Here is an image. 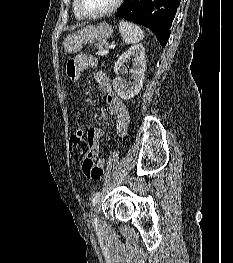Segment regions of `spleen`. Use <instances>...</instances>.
Instances as JSON below:
<instances>
[{"label":"spleen","instance_id":"obj_1","mask_svg":"<svg viewBox=\"0 0 233 263\" xmlns=\"http://www.w3.org/2000/svg\"><path fill=\"white\" fill-rule=\"evenodd\" d=\"M119 31L123 41L128 45L138 43L144 38L143 30L139 26L127 21L119 23Z\"/></svg>","mask_w":233,"mask_h":263}]
</instances>
